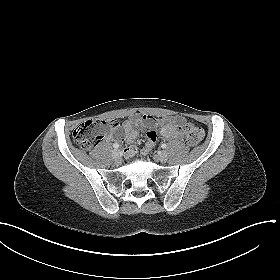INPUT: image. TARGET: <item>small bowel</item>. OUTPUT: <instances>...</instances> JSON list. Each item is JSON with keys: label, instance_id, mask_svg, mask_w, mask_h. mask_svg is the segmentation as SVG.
Masks as SVG:
<instances>
[{"label": "small bowel", "instance_id": "c3829d8e", "mask_svg": "<svg viewBox=\"0 0 280 280\" xmlns=\"http://www.w3.org/2000/svg\"><path fill=\"white\" fill-rule=\"evenodd\" d=\"M185 119L181 116L156 119L152 115L133 117L122 124L120 139H124L129 146L125 149L128 157L134 156L139 147L136 145L137 132L134 127L141 124L146 128V147H153L158 141V135L168 139H181L184 135ZM154 128H157L155 130Z\"/></svg>", "mask_w": 280, "mask_h": 280}]
</instances>
